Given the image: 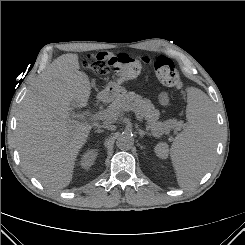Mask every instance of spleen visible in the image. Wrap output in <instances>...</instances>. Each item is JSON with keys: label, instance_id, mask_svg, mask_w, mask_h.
Instances as JSON below:
<instances>
[{"label": "spleen", "instance_id": "spleen-1", "mask_svg": "<svg viewBox=\"0 0 245 245\" xmlns=\"http://www.w3.org/2000/svg\"><path fill=\"white\" fill-rule=\"evenodd\" d=\"M188 124L177 135L171 148L158 143L155 154L166 159L170 154L181 188L194 186L209 169L216 149L215 113L209 97L200 89H187Z\"/></svg>", "mask_w": 245, "mask_h": 245}]
</instances>
